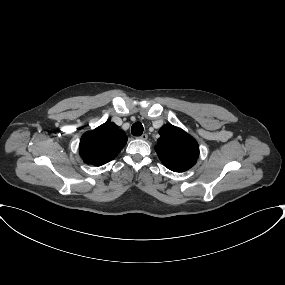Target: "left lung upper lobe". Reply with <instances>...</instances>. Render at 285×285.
Masks as SVG:
<instances>
[{"instance_id": "5c2ea615", "label": "left lung upper lobe", "mask_w": 285, "mask_h": 285, "mask_svg": "<svg viewBox=\"0 0 285 285\" xmlns=\"http://www.w3.org/2000/svg\"><path fill=\"white\" fill-rule=\"evenodd\" d=\"M159 134L155 150L165 167L175 172H183L196 163L199 146L192 136L171 124L163 125Z\"/></svg>"}]
</instances>
